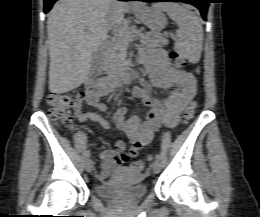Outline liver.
I'll use <instances>...</instances> for the list:
<instances>
[{"label": "liver", "mask_w": 260, "mask_h": 217, "mask_svg": "<svg viewBox=\"0 0 260 217\" xmlns=\"http://www.w3.org/2000/svg\"><path fill=\"white\" fill-rule=\"evenodd\" d=\"M122 26L129 4L118 3ZM111 0H59L48 14L49 90L62 94L85 82L92 55L113 28Z\"/></svg>", "instance_id": "6515ba94"}]
</instances>
